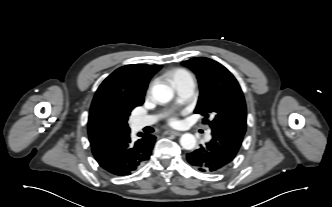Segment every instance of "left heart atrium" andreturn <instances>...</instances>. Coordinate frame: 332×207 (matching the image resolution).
<instances>
[{
    "instance_id": "39dd6f15",
    "label": "left heart atrium",
    "mask_w": 332,
    "mask_h": 207,
    "mask_svg": "<svg viewBox=\"0 0 332 207\" xmlns=\"http://www.w3.org/2000/svg\"><path fill=\"white\" fill-rule=\"evenodd\" d=\"M169 122H170V124H173V125H175V124H177V123H178V121H177V118H176V117H171V118H170V120H169Z\"/></svg>"
}]
</instances>
